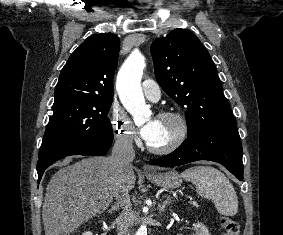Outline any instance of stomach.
<instances>
[{
	"instance_id": "obj_1",
	"label": "stomach",
	"mask_w": 283,
	"mask_h": 235,
	"mask_svg": "<svg viewBox=\"0 0 283 235\" xmlns=\"http://www.w3.org/2000/svg\"><path fill=\"white\" fill-rule=\"evenodd\" d=\"M147 179L159 187L168 189H177L182 184L181 176L175 170L165 173L155 172L154 174H146Z\"/></svg>"
}]
</instances>
